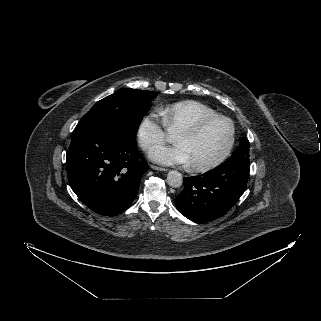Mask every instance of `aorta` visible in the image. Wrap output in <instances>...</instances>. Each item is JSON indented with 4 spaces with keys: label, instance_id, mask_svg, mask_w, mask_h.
<instances>
[{
    "label": "aorta",
    "instance_id": "1",
    "mask_svg": "<svg viewBox=\"0 0 321 321\" xmlns=\"http://www.w3.org/2000/svg\"><path fill=\"white\" fill-rule=\"evenodd\" d=\"M167 182L171 187L178 188L183 183L182 174L176 170H171L167 174Z\"/></svg>",
    "mask_w": 321,
    "mask_h": 321
}]
</instances>
